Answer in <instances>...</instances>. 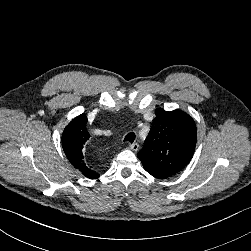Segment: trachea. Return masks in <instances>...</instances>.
<instances>
[{
  "label": "trachea",
  "instance_id": "obj_1",
  "mask_svg": "<svg viewBox=\"0 0 251 251\" xmlns=\"http://www.w3.org/2000/svg\"><path fill=\"white\" fill-rule=\"evenodd\" d=\"M135 133L134 132H130V133H128L126 136H125V138H124V141L125 142H130V143H133L134 142V140H135Z\"/></svg>",
  "mask_w": 251,
  "mask_h": 251
}]
</instances>
